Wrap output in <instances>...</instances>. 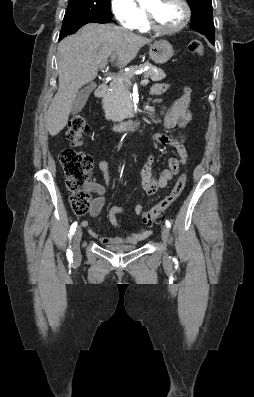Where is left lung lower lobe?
<instances>
[{"instance_id": "left-lung-lower-lobe-1", "label": "left lung lower lobe", "mask_w": 254, "mask_h": 397, "mask_svg": "<svg viewBox=\"0 0 254 397\" xmlns=\"http://www.w3.org/2000/svg\"><path fill=\"white\" fill-rule=\"evenodd\" d=\"M198 31L204 34L213 45L215 44V33H207L203 30H198Z\"/></svg>"}]
</instances>
